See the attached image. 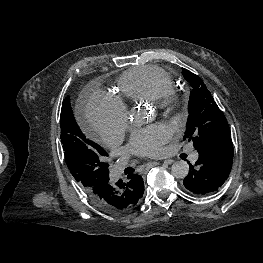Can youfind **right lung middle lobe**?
<instances>
[{"label": "right lung middle lobe", "mask_w": 263, "mask_h": 263, "mask_svg": "<svg viewBox=\"0 0 263 263\" xmlns=\"http://www.w3.org/2000/svg\"><path fill=\"white\" fill-rule=\"evenodd\" d=\"M60 127L65 161L80 186L87 191L106 182L109 179L108 154L82 133L72 113L69 96L62 103Z\"/></svg>", "instance_id": "1"}]
</instances>
